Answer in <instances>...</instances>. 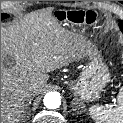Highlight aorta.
I'll list each match as a JSON object with an SVG mask.
<instances>
[{
	"label": "aorta",
	"instance_id": "aorta-1",
	"mask_svg": "<svg viewBox=\"0 0 123 123\" xmlns=\"http://www.w3.org/2000/svg\"><path fill=\"white\" fill-rule=\"evenodd\" d=\"M43 103L48 109H57L61 105V96L58 92H48L44 96Z\"/></svg>",
	"mask_w": 123,
	"mask_h": 123
}]
</instances>
